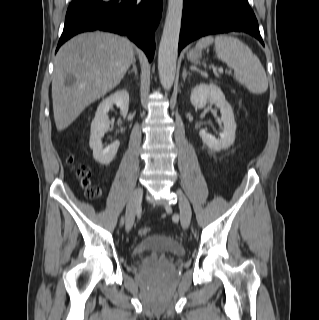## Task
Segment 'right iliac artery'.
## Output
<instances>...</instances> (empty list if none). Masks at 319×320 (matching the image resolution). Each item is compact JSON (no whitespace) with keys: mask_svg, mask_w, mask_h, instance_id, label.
<instances>
[{"mask_svg":"<svg viewBox=\"0 0 319 320\" xmlns=\"http://www.w3.org/2000/svg\"><path fill=\"white\" fill-rule=\"evenodd\" d=\"M124 223V219L122 218V220H121V224H123Z\"/></svg>","mask_w":319,"mask_h":320,"instance_id":"obj_1","label":"right iliac artery"}]
</instances>
